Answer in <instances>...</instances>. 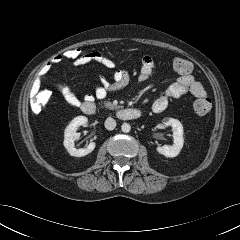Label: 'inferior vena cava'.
I'll return each instance as SVG.
<instances>
[{
    "instance_id": "1",
    "label": "inferior vena cava",
    "mask_w": 240,
    "mask_h": 240,
    "mask_svg": "<svg viewBox=\"0 0 240 240\" xmlns=\"http://www.w3.org/2000/svg\"><path fill=\"white\" fill-rule=\"evenodd\" d=\"M104 125L107 130H114L116 127V121L113 118H107Z\"/></svg>"
}]
</instances>
